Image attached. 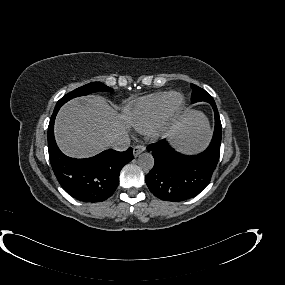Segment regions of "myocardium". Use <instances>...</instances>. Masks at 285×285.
<instances>
[{"label": "myocardium", "mask_w": 285, "mask_h": 285, "mask_svg": "<svg viewBox=\"0 0 285 285\" xmlns=\"http://www.w3.org/2000/svg\"><path fill=\"white\" fill-rule=\"evenodd\" d=\"M184 106V97L180 93H172L163 115L155 124L149 128L148 135L154 140H160L167 136L172 130L178 116L184 109Z\"/></svg>", "instance_id": "obj_1"}]
</instances>
